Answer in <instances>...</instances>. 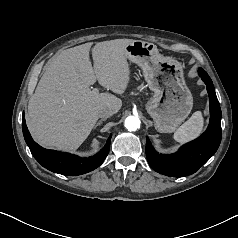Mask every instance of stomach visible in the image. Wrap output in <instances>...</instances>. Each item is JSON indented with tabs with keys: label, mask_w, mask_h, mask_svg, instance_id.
<instances>
[{
	"label": "stomach",
	"mask_w": 238,
	"mask_h": 238,
	"mask_svg": "<svg viewBox=\"0 0 238 238\" xmlns=\"http://www.w3.org/2000/svg\"><path fill=\"white\" fill-rule=\"evenodd\" d=\"M127 58L143 70L152 98L146 110L161 133H171L188 117L193 97L188 89L183 66L177 60L159 53L153 43L135 40L126 45Z\"/></svg>",
	"instance_id": "stomach-1"
}]
</instances>
